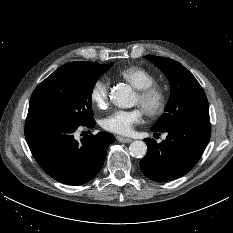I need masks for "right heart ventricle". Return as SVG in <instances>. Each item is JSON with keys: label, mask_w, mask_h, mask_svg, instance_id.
I'll return each instance as SVG.
<instances>
[{"label": "right heart ventricle", "mask_w": 233, "mask_h": 233, "mask_svg": "<svg viewBox=\"0 0 233 233\" xmlns=\"http://www.w3.org/2000/svg\"><path fill=\"white\" fill-rule=\"evenodd\" d=\"M120 77L129 81L135 88L142 89L156 84V78L141 67H130L120 72Z\"/></svg>", "instance_id": "obj_1"}]
</instances>
